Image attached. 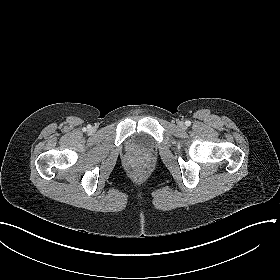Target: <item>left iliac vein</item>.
I'll return each instance as SVG.
<instances>
[{
    "label": "left iliac vein",
    "instance_id": "1",
    "mask_svg": "<svg viewBox=\"0 0 280 280\" xmlns=\"http://www.w3.org/2000/svg\"><path fill=\"white\" fill-rule=\"evenodd\" d=\"M179 125H180V126H183V123H182V122H179Z\"/></svg>",
    "mask_w": 280,
    "mask_h": 280
}]
</instances>
